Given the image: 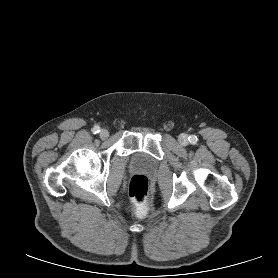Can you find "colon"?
Returning a JSON list of instances; mask_svg holds the SVG:
<instances>
[{"instance_id":"5ec220e1","label":"colon","mask_w":278,"mask_h":278,"mask_svg":"<svg viewBox=\"0 0 278 278\" xmlns=\"http://www.w3.org/2000/svg\"><path fill=\"white\" fill-rule=\"evenodd\" d=\"M128 194L132 204L144 211L151 195L149 179L144 175H134L129 182Z\"/></svg>"}]
</instances>
